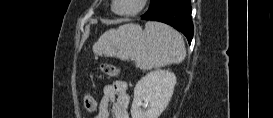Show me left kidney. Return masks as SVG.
I'll list each match as a JSON object with an SVG mask.
<instances>
[{"mask_svg": "<svg viewBox=\"0 0 273 118\" xmlns=\"http://www.w3.org/2000/svg\"><path fill=\"white\" fill-rule=\"evenodd\" d=\"M175 84L176 76L168 70H155L142 77L134 88L132 118H158L168 106Z\"/></svg>", "mask_w": 273, "mask_h": 118, "instance_id": "5707ae66", "label": "left kidney"}]
</instances>
